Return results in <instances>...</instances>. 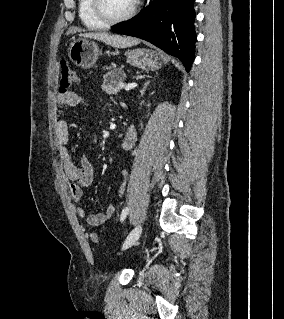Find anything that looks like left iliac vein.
<instances>
[{
  "label": "left iliac vein",
  "mask_w": 284,
  "mask_h": 319,
  "mask_svg": "<svg viewBox=\"0 0 284 319\" xmlns=\"http://www.w3.org/2000/svg\"><path fill=\"white\" fill-rule=\"evenodd\" d=\"M142 233V226L138 225L136 226L127 236V238L124 241L123 244V249H127L129 247H131L132 245H134L137 240L139 239V237L141 236Z\"/></svg>",
  "instance_id": "obj_1"
}]
</instances>
